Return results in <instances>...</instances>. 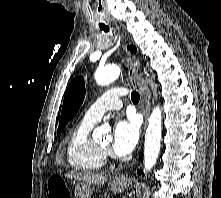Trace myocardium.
Listing matches in <instances>:
<instances>
[{
  "label": "myocardium",
  "instance_id": "f54148a6",
  "mask_svg": "<svg viewBox=\"0 0 221 198\" xmlns=\"http://www.w3.org/2000/svg\"><path fill=\"white\" fill-rule=\"evenodd\" d=\"M104 151H106L107 150V147L106 146H103V147H101Z\"/></svg>",
  "mask_w": 221,
  "mask_h": 198
}]
</instances>
